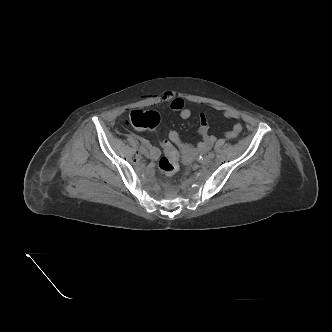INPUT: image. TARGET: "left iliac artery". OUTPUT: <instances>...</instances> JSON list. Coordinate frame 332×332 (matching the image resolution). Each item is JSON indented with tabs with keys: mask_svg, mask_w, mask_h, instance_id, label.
Here are the masks:
<instances>
[{
	"mask_svg": "<svg viewBox=\"0 0 332 332\" xmlns=\"http://www.w3.org/2000/svg\"><path fill=\"white\" fill-rule=\"evenodd\" d=\"M208 156H209L211 159H213V158L215 157V154H214L213 152H210V153L208 154Z\"/></svg>",
	"mask_w": 332,
	"mask_h": 332,
	"instance_id": "44dca946",
	"label": "left iliac artery"
}]
</instances>
